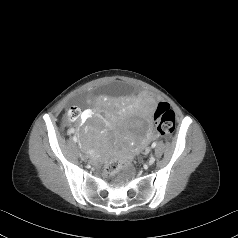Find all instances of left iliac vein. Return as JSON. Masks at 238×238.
<instances>
[{"label": "left iliac vein", "instance_id": "1", "mask_svg": "<svg viewBox=\"0 0 238 238\" xmlns=\"http://www.w3.org/2000/svg\"><path fill=\"white\" fill-rule=\"evenodd\" d=\"M154 161H155V158H154V157H151V158L149 159V161H148V164H149V165H152V164L154 163Z\"/></svg>", "mask_w": 238, "mask_h": 238}]
</instances>
